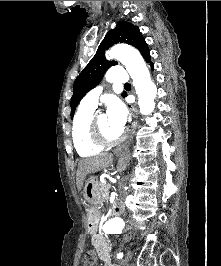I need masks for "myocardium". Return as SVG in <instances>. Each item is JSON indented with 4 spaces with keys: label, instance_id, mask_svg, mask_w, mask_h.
<instances>
[{
    "label": "myocardium",
    "instance_id": "myocardium-1",
    "mask_svg": "<svg viewBox=\"0 0 221 266\" xmlns=\"http://www.w3.org/2000/svg\"><path fill=\"white\" fill-rule=\"evenodd\" d=\"M98 114L95 113L92 115L91 121H90V136L92 141L102 147H109V146H114L116 144H119L125 137V131H121L120 134L114 138V139H109L107 138L98 123Z\"/></svg>",
    "mask_w": 221,
    "mask_h": 266
}]
</instances>
